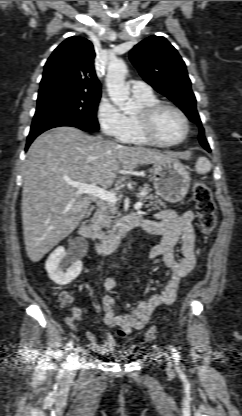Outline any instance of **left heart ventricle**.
I'll list each match as a JSON object with an SVG mask.
<instances>
[{
	"instance_id": "b2bd125f",
	"label": "left heart ventricle",
	"mask_w": 242,
	"mask_h": 416,
	"mask_svg": "<svg viewBox=\"0 0 242 416\" xmlns=\"http://www.w3.org/2000/svg\"><path fill=\"white\" fill-rule=\"evenodd\" d=\"M154 128L157 135L166 141L177 140L184 132L182 119L170 109H164L156 116Z\"/></svg>"
}]
</instances>
